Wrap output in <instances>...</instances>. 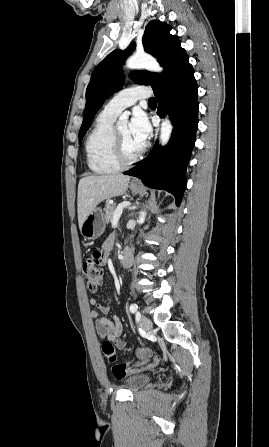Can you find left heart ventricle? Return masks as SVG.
<instances>
[{"instance_id": "b2bd125f", "label": "left heart ventricle", "mask_w": 269, "mask_h": 447, "mask_svg": "<svg viewBox=\"0 0 269 447\" xmlns=\"http://www.w3.org/2000/svg\"><path fill=\"white\" fill-rule=\"evenodd\" d=\"M116 132L128 158L136 156L143 149L144 143L132 136L129 126L122 127Z\"/></svg>"}]
</instances>
